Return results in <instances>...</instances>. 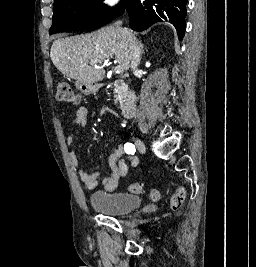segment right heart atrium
I'll use <instances>...</instances> for the list:
<instances>
[{
  "label": "right heart atrium",
  "instance_id": "right-heart-atrium-1",
  "mask_svg": "<svg viewBox=\"0 0 256 267\" xmlns=\"http://www.w3.org/2000/svg\"><path fill=\"white\" fill-rule=\"evenodd\" d=\"M106 56H110L111 54H105Z\"/></svg>",
  "mask_w": 256,
  "mask_h": 267
}]
</instances>
